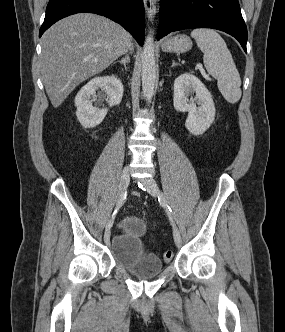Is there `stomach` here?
<instances>
[{"instance_id": "1", "label": "stomach", "mask_w": 285, "mask_h": 332, "mask_svg": "<svg viewBox=\"0 0 285 332\" xmlns=\"http://www.w3.org/2000/svg\"><path fill=\"white\" fill-rule=\"evenodd\" d=\"M191 48V39L183 34L170 37L162 43V50L165 52L184 53L189 51Z\"/></svg>"}]
</instances>
